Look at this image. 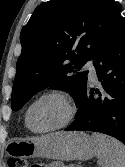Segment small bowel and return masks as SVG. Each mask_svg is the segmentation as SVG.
<instances>
[{
    "instance_id": "1",
    "label": "small bowel",
    "mask_w": 125,
    "mask_h": 167,
    "mask_svg": "<svg viewBox=\"0 0 125 167\" xmlns=\"http://www.w3.org/2000/svg\"><path fill=\"white\" fill-rule=\"evenodd\" d=\"M39 167H58V166L56 165V163H48L44 165H39Z\"/></svg>"
}]
</instances>
